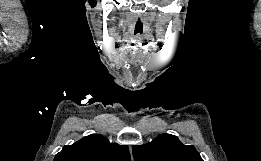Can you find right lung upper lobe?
Masks as SVG:
<instances>
[{"label": "right lung upper lobe", "mask_w": 261, "mask_h": 161, "mask_svg": "<svg viewBox=\"0 0 261 161\" xmlns=\"http://www.w3.org/2000/svg\"><path fill=\"white\" fill-rule=\"evenodd\" d=\"M54 161H130L127 145L110 143L99 134L82 138L64 146Z\"/></svg>", "instance_id": "right-lung-upper-lobe-1"}]
</instances>
